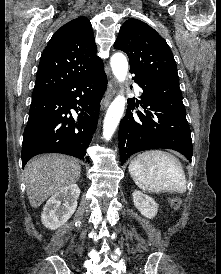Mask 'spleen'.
<instances>
[{"instance_id":"3e777b00","label":"spleen","mask_w":221,"mask_h":274,"mask_svg":"<svg viewBox=\"0 0 221 274\" xmlns=\"http://www.w3.org/2000/svg\"><path fill=\"white\" fill-rule=\"evenodd\" d=\"M128 170L135 184L150 193H184L187 189L180 161L161 150L138 154L129 164Z\"/></svg>"}]
</instances>
